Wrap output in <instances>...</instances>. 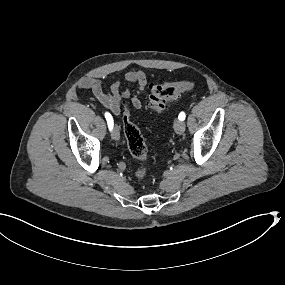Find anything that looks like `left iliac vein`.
<instances>
[{
    "mask_svg": "<svg viewBox=\"0 0 285 285\" xmlns=\"http://www.w3.org/2000/svg\"><path fill=\"white\" fill-rule=\"evenodd\" d=\"M185 123L181 120H175L174 122V130L177 134H182L185 131Z\"/></svg>",
    "mask_w": 285,
    "mask_h": 285,
    "instance_id": "obj_1",
    "label": "left iliac vein"
}]
</instances>
